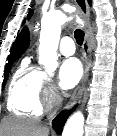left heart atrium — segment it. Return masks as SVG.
Wrapping results in <instances>:
<instances>
[{"label": "left heart atrium", "mask_w": 117, "mask_h": 136, "mask_svg": "<svg viewBox=\"0 0 117 136\" xmlns=\"http://www.w3.org/2000/svg\"><path fill=\"white\" fill-rule=\"evenodd\" d=\"M82 74L83 70L79 60L76 58H67L62 61L59 67V85L63 89H70L80 81Z\"/></svg>", "instance_id": "obj_1"}]
</instances>
